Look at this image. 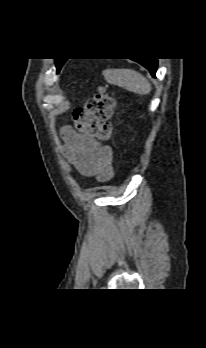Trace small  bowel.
<instances>
[{
  "instance_id": "obj_1",
  "label": "small bowel",
  "mask_w": 206,
  "mask_h": 348,
  "mask_svg": "<svg viewBox=\"0 0 206 348\" xmlns=\"http://www.w3.org/2000/svg\"><path fill=\"white\" fill-rule=\"evenodd\" d=\"M61 134L65 141L64 154L80 175L95 177L99 181L112 178L113 154L110 146L81 135L68 126L61 128Z\"/></svg>"
}]
</instances>
